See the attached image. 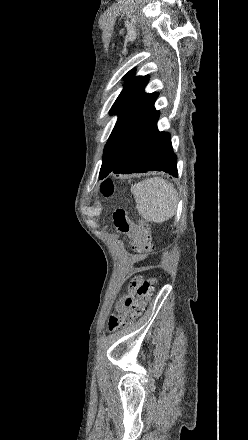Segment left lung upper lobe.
I'll return each instance as SVG.
<instances>
[{"label":"left lung upper lobe","mask_w":248,"mask_h":440,"mask_svg":"<svg viewBox=\"0 0 248 440\" xmlns=\"http://www.w3.org/2000/svg\"><path fill=\"white\" fill-rule=\"evenodd\" d=\"M133 72L126 74L128 81L110 110L118 114V120L104 148L100 179L111 173L131 148L158 130L159 111L154 108L158 93H145L148 76L134 77Z\"/></svg>","instance_id":"1"}]
</instances>
